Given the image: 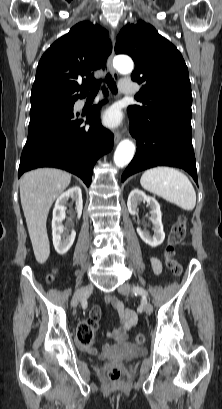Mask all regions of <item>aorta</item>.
Listing matches in <instances>:
<instances>
[{"mask_svg": "<svg viewBox=\"0 0 222 409\" xmlns=\"http://www.w3.org/2000/svg\"><path fill=\"white\" fill-rule=\"evenodd\" d=\"M113 66L122 74H128L133 70V61L127 56H117L113 60ZM135 154V145L132 141L125 139L119 143L114 153V163L117 167L127 166Z\"/></svg>", "mask_w": 222, "mask_h": 409, "instance_id": "762f6f07", "label": "aorta"}]
</instances>
